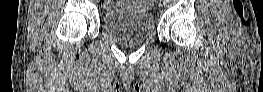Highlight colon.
Instances as JSON below:
<instances>
[{"mask_svg": "<svg viewBox=\"0 0 263 92\" xmlns=\"http://www.w3.org/2000/svg\"><path fill=\"white\" fill-rule=\"evenodd\" d=\"M143 2H145L147 4H151L153 1L149 0V1H143Z\"/></svg>", "mask_w": 263, "mask_h": 92, "instance_id": "obj_1", "label": "colon"}]
</instances>
